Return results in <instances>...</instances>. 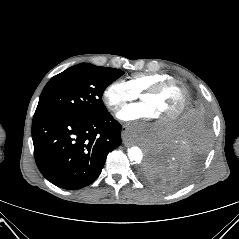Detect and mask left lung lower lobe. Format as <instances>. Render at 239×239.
Returning <instances> with one entry per match:
<instances>
[{"label": "left lung lower lobe", "mask_w": 239, "mask_h": 239, "mask_svg": "<svg viewBox=\"0 0 239 239\" xmlns=\"http://www.w3.org/2000/svg\"><path fill=\"white\" fill-rule=\"evenodd\" d=\"M209 144V118L198 99L151 150L144 168L146 179L163 190L189 182L204 160Z\"/></svg>", "instance_id": "1"}]
</instances>
